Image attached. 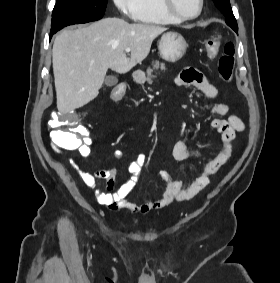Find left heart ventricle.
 Instances as JSON below:
<instances>
[{
    "label": "left heart ventricle",
    "instance_id": "b2bd125f",
    "mask_svg": "<svg viewBox=\"0 0 280 283\" xmlns=\"http://www.w3.org/2000/svg\"><path fill=\"white\" fill-rule=\"evenodd\" d=\"M173 3L184 15H194L199 9V0H173Z\"/></svg>",
    "mask_w": 280,
    "mask_h": 283
}]
</instances>
